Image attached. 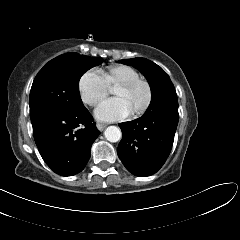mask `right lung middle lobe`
Segmentation results:
<instances>
[{"instance_id": "obj_1", "label": "right lung middle lobe", "mask_w": 240, "mask_h": 240, "mask_svg": "<svg viewBox=\"0 0 240 240\" xmlns=\"http://www.w3.org/2000/svg\"><path fill=\"white\" fill-rule=\"evenodd\" d=\"M100 64L99 58L78 53H66L49 61L37 74L31 87V121L50 113L82 108L79 80L87 70Z\"/></svg>"}]
</instances>
